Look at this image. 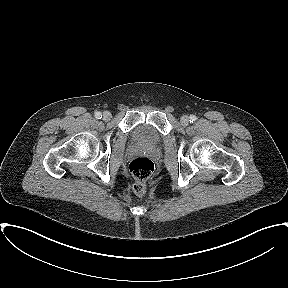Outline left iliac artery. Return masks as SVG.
<instances>
[{
	"label": "left iliac artery",
	"instance_id": "obj_1",
	"mask_svg": "<svg viewBox=\"0 0 288 288\" xmlns=\"http://www.w3.org/2000/svg\"><path fill=\"white\" fill-rule=\"evenodd\" d=\"M196 119H197V118H196L195 115H190V117H189V121L192 122V123L195 122Z\"/></svg>",
	"mask_w": 288,
	"mask_h": 288
}]
</instances>
